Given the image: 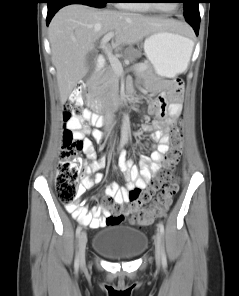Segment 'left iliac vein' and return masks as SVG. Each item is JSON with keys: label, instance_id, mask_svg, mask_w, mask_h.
I'll return each mask as SVG.
<instances>
[{"label": "left iliac vein", "instance_id": "obj_1", "mask_svg": "<svg viewBox=\"0 0 239 296\" xmlns=\"http://www.w3.org/2000/svg\"><path fill=\"white\" fill-rule=\"evenodd\" d=\"M154 243H155L156 263H157V266H160L162 261V248H161V237L159 232H157L155 235Z\"/></svg>", "mask_w": 239, "mask_h": 296}]
</instances>
